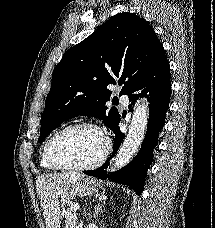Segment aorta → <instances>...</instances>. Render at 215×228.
<instances>
[{"mask_svg":"<svg viewBox=\"0 0 215 228\" xmlns=\"http://www.w3.org/2000/svg\"><path fill=\"white\" fill-rule=\"evenodd\" d=\"M149 118V102L142 100L139 102L131 118L127 138H125L118 154L113 158L111 172L121 170L131 162L139 146H141L147 130Z\"/></svg>","mask_w":215,"mask_h":228,"instance_id":"762f6f07","label":"aorta"}]
</instances>
